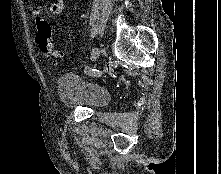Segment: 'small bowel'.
Instances as JSON below:
<instances>
[{
  "label": "small bowel",
  "mask_w": 221,
  "mask_h": 174,
  "mask_svg": "<svg viewBox=\"0 0 221 174\" xmlns=\"http://www.w3.org/2000/svg\"><path fill=\"white\" fill-rule=\"evenodd\" d=\"M65 10V2L64 0H56L49 6V14L52 16H60ZM30 12L31 15L38 20L42 14V10L39 6L35 4L30 5Z\"/></svg>",
  "instance_id": "1"
}]
</instances>
